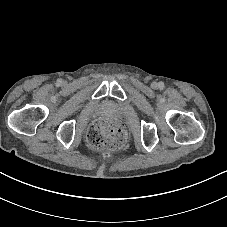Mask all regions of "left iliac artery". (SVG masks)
Instances as JSON below:
<instances>
[{"label": "left iliac artery", "mask_w": 227, "mask_h": 227, "mask_svg": "<svg viewBox=\"0 0 227 227\" xmlns=\"http://www.w3.org/2000/svg\"><path fill=\"white\" fill-rule=\"evenodd\" d=\"M164 86H165V85H164L163 82H159V83H158V87H159L161 90L164 88Z\"/></svg>", "instance_id": "obj_1"}]
</instances>
